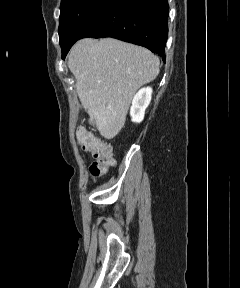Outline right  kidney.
Wrapping results in <instances>:
<instances>
[{"instance_id": "obj_1", "label": "right kidney", "mask_w": 240, "mask_h": 288, "mask_svg": "<svg viewBox=\"0 0 240 288\" xmlns=\"http://www.w3.org/2000/svg\"><path fill=\"white\" fill-rule=\"evenodd\" d=\"M152 88L146 87L138 91L132 101L130 116L133 122L140 123L144 119L145 110L151 101Z\"/></svg>"}]
</instances>
